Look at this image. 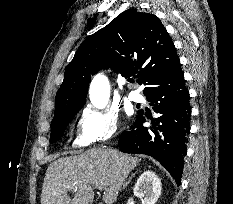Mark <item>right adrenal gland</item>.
I'll use <instances>...</instances> for the list:
<instances>
[{
	"label": "right adrenal gland",
	"instance_id": "right-adrenal-gland-1",
	"mask_svg": "<svg viewBox=\"0 0 233 204\" xmlns=\"http://www.w3.org/2000/svg\"><path fill=\"white\" fill-rule=\"evenodd\" d=\"M134 175H135V173H133V174L129 177L128 181L123 185V189L131 182L132 177H133Z\"/></svg>",
	"mask_w": 233,
	"mask_h": 204
}]
</instances>
